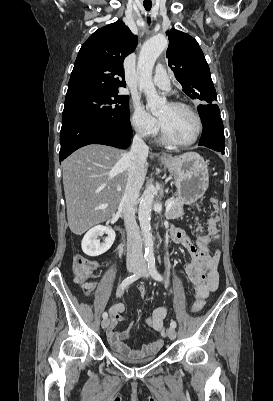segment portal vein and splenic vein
Here are the masks:
<instances>
[{
    "label": "portal vein and splenic vein",
    "mask_w": 273,
    "mask_h": 401,
    "mask_svg": "<svg viewBox=\"0 0 273 401\" xmlns=\"http://www.w3.org/2000/svg\"><path fill=\"white\" fill-rule=\"evenodd\" d=\"M164 205H165V212H168V209H171V206L174 205V202L173 201H165ZM107 207H109V205H99V207H97V209H107Z\"/></svg>",
    "instance_id": "18ae733b"
}]
</instances>
